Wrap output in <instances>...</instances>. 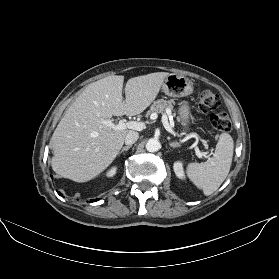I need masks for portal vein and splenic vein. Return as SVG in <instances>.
<instances>
[{"mask_svg": "<svg viewBox=\"0 0 279 279\" xmlns=\"http://www.w3.org/2000/svg\"><path fill=\"white\" fill-rule=\"evenodd\" d=\"M157 117H158V115L156 113L151 115L152 120L157 119ZM101 123L114 130H124V129L128 128V129L141 131V130L145 129V126H146L144 122L125 121V120H120L118 124H114L110 120H101ZM162 123L168 132H170L173 135H176V133L173 131V129L171 128V126L168 123L167 116H165V115L162 116ZM194 147H195V152H196V155L198 158H202L203 156H205V154L199 150V148L196 146V144H194Z\"/></svg>", "mask_w": 279, "mask_h": 279, "instance_id": "obj_1", "label": "portal vein and splenic vein"}]
</instances>
